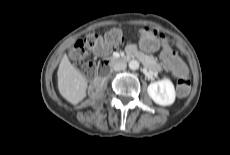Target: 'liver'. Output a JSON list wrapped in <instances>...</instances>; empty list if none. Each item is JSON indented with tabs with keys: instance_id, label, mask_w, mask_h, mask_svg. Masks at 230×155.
Returning a JSON list of instances; mask_svg holds the SVG:
<instances>
[{
	"instance_id": "6515ba94",
	"label": "liver",
	"mask_w": 230,
	"mask_h": 155,
	"mask_svg": "<svg viewBox=\"0 0 230 155\" xmlns=\"http://www.w3.org/2000/svg\"><path fill=\"white\" fill-rule=\"evenodd\" d=\"M57 76L59 92L68 102L76 105L86 97L87 80L71 64L66 54L60 61Z\"/></svg>"
}]
</instances>
